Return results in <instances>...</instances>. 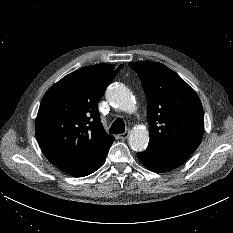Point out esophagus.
I'll return each mask as SVG.
<instances>
[{
	"mask_svg": "<svg viewBox=\"0 0 233 233\" xmlns=\"http://www.w3.org/2000/svg\"><path fill=\"white\" fill-rule=\"evenodd\" d=\"M129 136V131H125L124 133L119 134L120 139H126Z\"/></svg>",
	"mask_w": 233,
	"mask_h": 233,
	"instance_id": "obj_1",
	"label": "esophagus"
}]
</instances>
